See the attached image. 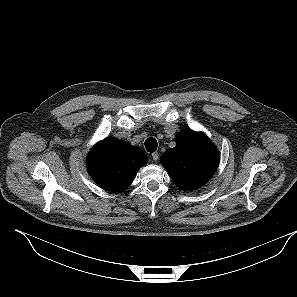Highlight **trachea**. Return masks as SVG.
<instances>
[{"label": "trachea", "instance_id": "obj_1", "mask_svg": "<svg viewBox=\"0 0 297 297\" xmlns=\"http://www.w3.org/2000/svg\"><path fill=\"white\" fill-rule=\"evenodd\" d=\"M158 143L155 138L149 137L145 141V148L148 152H155L157 150Z\"/></svg>", "mask_w": 297, "mask_h": 297}]
</instances>
